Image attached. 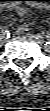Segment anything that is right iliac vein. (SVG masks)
Returning a JSON list of instances; mask_svg holds the SVG:
<instances>
[{
  "mask_svg": "<svg viewBox=\"0 0 50 111\" xmlns=\"http://www.w3.org/2000/svg\"><path fill=\"white\" fill-rule=\"evenodd\" d=\"M0 42L1 43H6L7 42V39H6V37H5V35L3 33H1Z\"/></svg>",
  "mask_w": 50,
  "mask_h": 111,
  "instance_id": "obj_1",
  "label": "right iliac vein"
}]
</instances>
